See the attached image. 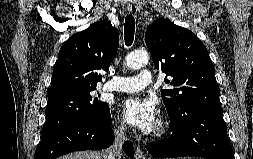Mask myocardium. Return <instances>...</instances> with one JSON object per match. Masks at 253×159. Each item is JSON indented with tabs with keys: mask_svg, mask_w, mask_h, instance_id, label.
<instances>
[{
	"mask_svg": "<svg viewBox=\"0 0 253 159\" xmlns=\"http://www.w3.org/2000/svg\"><path fill=\"white\" fill-rule=\"evenodd\" d=\"M167 129H168V125L166 124V122L164 120L160 119L156 123V125L153 129L152 135L154 137H161L162 135H164L166 133Z\"/></svg>",
	"mask_w": 253,
	"mask_h": 159,
	"instance_id": "f54148a6",
	"label": "myocardium"
}]
</instances>
